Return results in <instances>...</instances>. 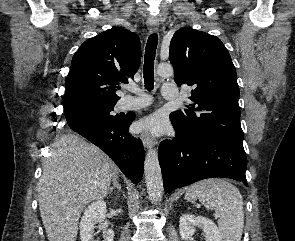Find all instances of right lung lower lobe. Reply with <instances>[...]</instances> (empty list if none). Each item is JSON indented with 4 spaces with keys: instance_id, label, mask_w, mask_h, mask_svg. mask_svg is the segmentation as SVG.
I'll return each mask as SVG.
<instances>
[{
    "instance_id": "right-lung-lower-lobe-1",
    "label": "right lung lower lobe",
    "mask_w": 295,
    "mask_h": 241,
    "mask_svg": "<svg viewBox=\"0 0 295 241\" xmlns=\"http://www.w3.org/2000/svg\"><path fill=\"white\" fill-rule=\"evenodd\" d=\"M134 118L135 115H126L122 121L85 119L68 123V127L102 149L133 183H138L145 153L141 140L128 131Z\"/></svg>"
}]
</instances>
